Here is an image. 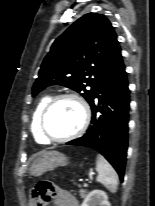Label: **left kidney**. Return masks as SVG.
I'll list each match as a JSON object with an SVG mask.
<instances>
[{"mask_svg": "<svg viewBox=\"0 0 155 206\" xmlns=\"http://www.w3.org/2000/svg\"><path fill=\"white\" fill-rule=\"evenodd\" d=\"M81 206H110L104 191L93 190L84 199Z\"/></svg>", "mask_w": 155, "mask_h": 206, "instance_id": "left-kidney-1", "label": "left kidney"}]
</instances>
